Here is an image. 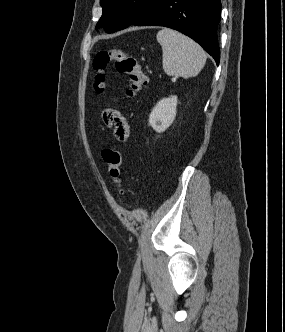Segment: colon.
I'll return each instance as SVG.
<instances>
[{
	"instance_id": "obj_1",
	"label": "colon",
	"mask_w": 285,
	"mask_h": 332,
	"mask_svg": "<svg viewBox=\"0 0 285 332\" xmlns=\"http://www.w3.org/2000/svg\"><path fill=\"white\" fill-rule=\"evenodd\" d=\"M110 63L115 65V68L119 73L128 77L129 85L126 89V96L130 99L135 98L147 84V76L143 72L138 61L120 48L102 49L95 55V58L93 59L95 91L98 93L104 91L106 80L105 71ZM102 157L108 175L119 187L121 176L120 153L115 149L108 148L102 152Z\"/></svg>"
}]
</instances>
